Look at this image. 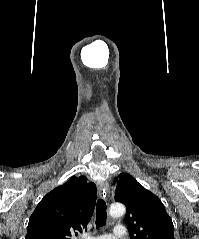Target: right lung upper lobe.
<instances>
[{"instance_id": "1", "label": "right lung upper lobe", "mask_w": 199, "mask_h": 239, "mask_svg": "<svg viewBox=\"0 0 199 239\" xmlns=\"http://www.w3.org/2000/svg\"><path fill=\"white\" fill-rule=\"evenodd\" d=\"M96 186L85 176H72L43 197L32 213L25 239H72L92 216Z\"/></svg>"}]
</instances>
